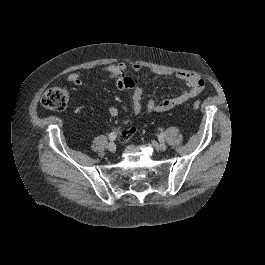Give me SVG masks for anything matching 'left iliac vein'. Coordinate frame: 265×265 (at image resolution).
<instances>
[{
    "label": "left iliac vein",
    "instance_id": "1",
    "mask_svg": "<svg viewBox=\"0 0 265 265\" xmlns=\"http://www.w3.org/2000/svg\"><path fill=\"white\" fill-rule=\"evenodd\" d=\"M158 147L161 151H165L167 149V145L164 142L159 143Z\"/></svg>",
    "mask_w": 265,
    "mask_h": 265
}]
</instances>
